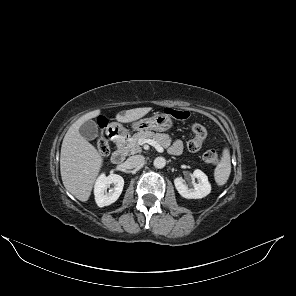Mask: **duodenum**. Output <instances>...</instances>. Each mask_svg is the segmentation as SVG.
<instances>
[{"label": "duodenum", "mask_w": 296, "mask_h": 296, "mask_svg": "<svg viewBox=\"0 0 296 296\" xmlns=\"http://www.w3.org/2000/svg\"><path fill=\"white\" fill-rule=\"evenodd\" d=\"M108 135L118 145V149H116L111 156V161L113 164L119 165L123 163L126 156L124 149L126 143V133L115 126H110L108 128Z\"/></svg>", "instance_id": "410a0bca"}]
</instances>
